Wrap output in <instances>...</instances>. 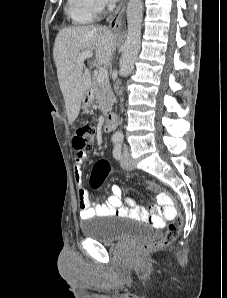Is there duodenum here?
Masks as SVG:
<instances>
[{
  "label": "duodenum",
  "mask_w": 227,
  "mask_h": 298,
  "mask_svg": "<svg viewBox=\"0 0 227 298\" xmlns=\"http://www.w3.org/2000/svg\"><path fill=\"white\" fill-rule=\"evenodd\" d=\"M88 94H91V90L89 89L87 91ZM116 119H117V116H116V113L111 111L107 114L106 116V123H105V129L107 131H111L114 129L115 125H116Z\"/></svg>",
  "instance_id": "410a0bca"
}]
</instances>
